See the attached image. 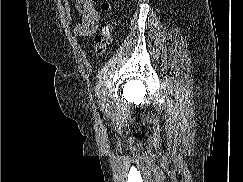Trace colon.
<instances>
[{
	"mask_svg": "<svg viewBox=\"0 0 243 182\" xmlns=\"http://www.w3.org/2000/svg\"><path fill=\"white\" fill-rule=\"evenodd\" d=\"M101 9L108 14L111 12L112 3L111 0H103L101 3ZM113 26L110 22L105 23L95 36L94 53L97 56L103 55L112 41Z\"/></svg>",
	"mask_w": 243,
	"mask_h": 182,
	"instance_id": "obj_1",
	"label": "colon"
}]
</instances>
